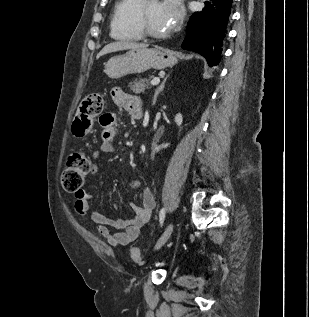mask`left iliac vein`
<instances>
[{
  "label": "left iliac vein",
  "instance_id": "1",
  "mask_svg": "<svg viewBox=\"0 0 309 317\" xmlns=\"http://www.w3.org/2000/svg\"><path fill=\"white\" fill-rule=\"evenodd\" d=\"M173 228H174L173 223L168 224V226L165 228L163 234L161 235V237L157 241L155 248H154L155 250L160 249L167 242V240L170 238V236L173 232Z\"/></svg>",
  "mask_w": 309,
  "mask_h": 317
}]
</instances>
